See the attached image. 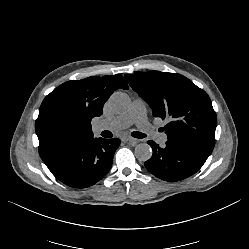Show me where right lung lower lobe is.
Returning <instances> with one entry per match:
<instances>
[{
    "instance_id": "right-lung-lower-lobe-1",
    "label": "right lung lower lobe",
    "mask_w": 249,
    "mask_h": 249,
    "mask_svg": "<svg viewBox=\"0 0 249 249\" xmlns=\"http://www.w3.org/2000/svg\"><path fill=\"white\" fill-rule=\"evenodd\" d=\"M119 145L120 140L117 138L81 139L69 143L43 161L64 184L74 188H86L108 173Z\"/></svg>"
}]
</instances>
